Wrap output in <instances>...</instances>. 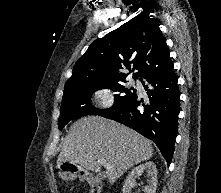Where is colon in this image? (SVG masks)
Wrapping results in <instances>:
<instances>
[{"label":"colon","mask_w":221,"mask_h":193,"mask_svg":"<svg viewBox=\"0 0 221 193\" xmlns=\"http://www.w3.org/2000/svg\"><path fill=\"white\" fill-rule=\"evenodd\" d=\"M65 171L67 173L74 174V173H76V168L74 166H67ZM83 176L91 182V192L90 193H100V191H101L100 182L89 174H83Z\"/></svg>","instance_id":"colon-1"}]
</instances>
